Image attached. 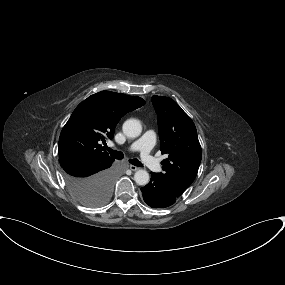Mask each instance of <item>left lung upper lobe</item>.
Segmentation results:
<instances>
[{
	"instance_id": "5c2ea615",
	"label": "left lung upper lobe",
	"mask_w": 285,
	"mask_h": 285,
	"mask_svg": "<svg viewBox=\"0 0 285 285\" xmlns=\"http://www.w3.org/2000/svg\"><path fill=\"white\" fill-rule=\"evenodd\" d=\"M158 115L160 150L167 154L161 164L166 179L176 192L182 194L194 181L201 162V146L197 130L190 117L171 98L152 96Z\"/></svg>"
}]
</instances>
